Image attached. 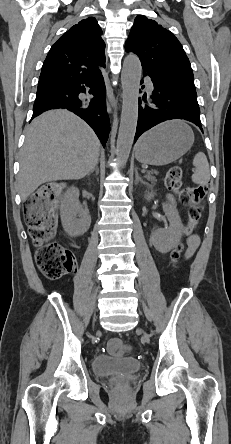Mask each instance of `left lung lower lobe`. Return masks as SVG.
Here are the masks:
<instances>
[{"label":"left lung lower lobe","instance_id":"0a47b994","mask_svg":"<svg viewBox=\"0 0 231 444\" xmlns=\"http://www.w3.org/2000/svg\"><path fill=\"white\" fill-rule=\"evenodd\" d=\"M150 76L153 91L139 98V116L134 142L138 137L153 126L170 119H185L196 124L202 131L200 109L196 91L174 86L160 75L144 72ZM143 83V81H141ZM144 88V87H142Z\"/></svg>","mask_w":231,"mask_h":444}]
</instances>
